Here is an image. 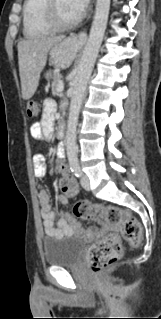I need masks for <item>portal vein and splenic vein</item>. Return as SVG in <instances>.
<instances>
[{
  "label": "portal vein and splenic vein",
  "instance_id": "1",
  "mask_svg": "<svg viewBox=\"0 0 161 319\" xmlns=\"http://www.w3.org/2000/svg\"><path fill=\"white\" fill-rule=\"evenodd\" d=\"M64 89V83L63 81H60L59 85H58V92H62Z\"/></svg>",
  "mask_w": 161,
  "mask_h": 319
}]
</instances>
